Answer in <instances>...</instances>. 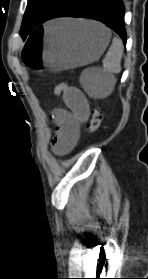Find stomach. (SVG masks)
<instances>
[{
    "mask_svg": "<svg viewBox=\"0 0 148 279\" xmlns=\"http://www.w3.org/2000/svg\"><path fill=\"white\" fill-rule=\"evenodd\" d=\"M37 29L44 30L40 34H28L24 72L75 69L92 63L99 59L111 37L104 26L86 21L60 20L37 24Z\"/></svg>",
    "mask_w": 148,
    "mask_h": 279,
    "instance_id": "obj_1",
    "label": "stomach"
}]
</instances>
